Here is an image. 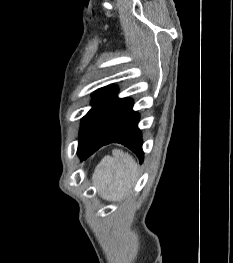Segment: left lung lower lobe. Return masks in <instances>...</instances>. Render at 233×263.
<instances>
[{
	"label": "left lung lower lobe",
	"instance_id": "obj_1",
	"mask_svg": "<svg viewBox=\"0 0 233 263\" xmlns=\"http://www.w3.org/2000/svg\"><path fill=\"white\" fill-rule=\"evenodd\" d=\"M130 98L115 97L98 119L87 144L78 149L81 160H85L100 147L110 143H120L133 151L142 163V135L138 129V113L132 110Z\"/></svg>",
	"mask_w": 233,
	"mask_h": 263
}]
</instances>
